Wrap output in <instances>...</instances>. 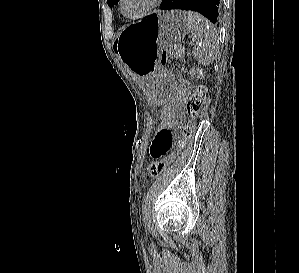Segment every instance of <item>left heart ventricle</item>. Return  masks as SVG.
I'll list each match as a JSON object with an SVG mask.
<instances>
[{
	"label": "left heart ventricle",
	"mask_w": 299,
	"mask_h": 273,
	"mask_svg": "<svg viewBox=\"0 0 299 273\" xmlns=\"http://www.w3.org/2000/svg\"><path fill=\"white\" fill-rule=\"evenodd\" d=\"M151 0H124L123 10L128 15H135L143 11Z\"/></svg>",
	"instance_id": "b2bd125f"
}]
</instances>
